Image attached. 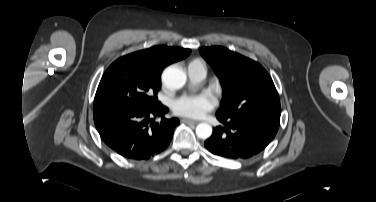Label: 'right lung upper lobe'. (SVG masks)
Here are the masks:
<instances>
[{"label": "right lung upper lobe", "mask_w": 376, "mask_h": 202, "mask_svg": "<svg viewBox=\"0 0 376 202\" xmlns=\"http://www.w3.org/2000/svg\"><path fill=\"white\" fill-rule=\"evenodd\" d=\"M190 52V49L154 46L149 49L131 53L128 56L143 64L152 74L160 76L164 67L186 58Z\"/></svg>", "instance_id": "cb5924a9"}]
</instances>
